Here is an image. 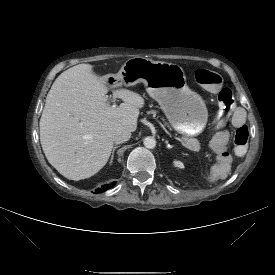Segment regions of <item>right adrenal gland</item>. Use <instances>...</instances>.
Wrapping results in <instances>:
<instances>
[{
	"instance_id": "obj_1",
	"label": "right adrenal gland",
	"mask_w": 275,
	"mask_h": 275,
	"mask_svg": "<svg viewBox=\"0 0 275 275\" xmlns=\"http://www.w3.org/2000/svg\"><path fill=\"white\" fill-rule=\"evenodd\" d=\"M118 147H119L118 145H115V146L113 147L110 163H112V160H113V158H114V152H115V150H116Z\"/></svg>"
}]
</instances>
